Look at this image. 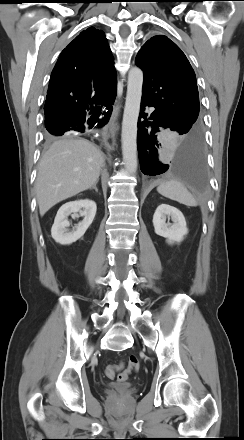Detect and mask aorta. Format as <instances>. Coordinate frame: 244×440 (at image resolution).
I'll use <instances>...</instances> for the list:
<instances>
[{
    "instance_id": "aorta-1",
    "label": "aorta",
    "mask_w": 244,
    "mask_h": 440,
    "mask_svg": "<svg viewBox=\"0 0 244 440\" xmlns=\"http://www.w3.org/2000/svg\"><path fill=\"white\" fill-rule=\"evenodd\" d=\"M143 72L134 67L128 73L127 95L122 121V154L127 171H137V122L142 96Z\"/></svg>"
}]
</instances>
